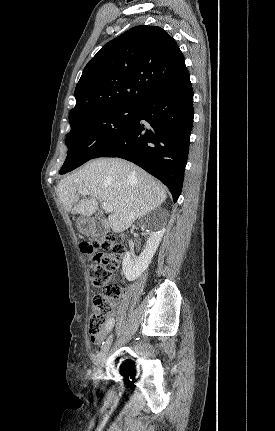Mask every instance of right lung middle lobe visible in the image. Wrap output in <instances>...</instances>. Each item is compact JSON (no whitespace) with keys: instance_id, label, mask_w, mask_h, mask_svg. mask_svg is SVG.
I'll use <instances>...</instances> for the list:
<instances>
[{"instance_id":"right-lung-middle-lobe-1","label":"right lung middle lobe","mask_w":275,"mask_h":431,"mask_svg":"<svg viewBox=\"0 0 275 431\" xmlns=\"http://www.w3.org/2000/svg\"><path fill=\"white\" fill-rule=\"evenodd\" d=\"M136 106H115L89 113L71 123L68 153L60 170L65 174L92 159L135 120Z\"/></svg>"}]
</instances>
